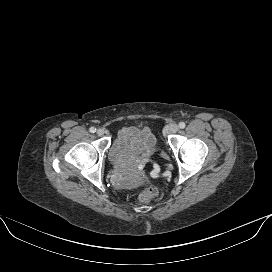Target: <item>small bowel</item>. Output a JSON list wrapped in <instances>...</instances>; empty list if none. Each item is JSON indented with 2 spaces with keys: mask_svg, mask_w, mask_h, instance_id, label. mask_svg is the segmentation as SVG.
<instances>
[{
  "mask_svg": "<svg viewBox=\"0 0 272 272\" xmlns=\"http://www.w3.org/2000/svg\"><path fill=\"white\" fill-rule=\"evenodd\" d=\"M155 143L154 135L148 127H123L113 142L112 150L119 153L147 156Z\"/></svg>",
  "mask_w": 272,
  "mask_h": 272,
  "instance_id": "1",
  "label": "small bowel"
}]
</instances>
